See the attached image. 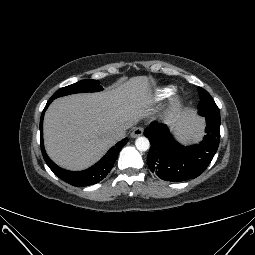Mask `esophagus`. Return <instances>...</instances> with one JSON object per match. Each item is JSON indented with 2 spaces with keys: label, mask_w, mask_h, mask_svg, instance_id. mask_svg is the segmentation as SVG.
<instances>
[{
  "label": "esophagus",
  "mask_w": 255,
  "mask_h": 255,
  "mask_svg": "<svg viewBox=\"0 0 255 255\" xmlns=\"http://www.w3.org/2000/svg\"><path fill=\"white\" fill-rule=\"evenodd\" d=\"M143 134V128L138 127L135 128L132 132H131V137L132 138H136L138 136H141Z\"/></svg>",
  "instance_id": "1"
}]
</instances>
